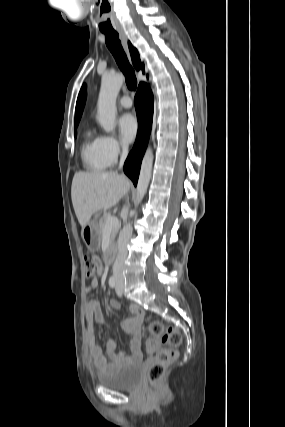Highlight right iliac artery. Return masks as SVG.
<instances>
[{"label":"right iliac artery","mask_w":285,"mask_h":427,"mask_svg":"<svg viewBox=\"0 0 285 427\" xmlns=\"http://www.w3.org/2000/svg\"><path fill=\"white\" fill-rule=\"evenodd\" d=\"M109 285L111 288H114L116 286V279L114 276H111L109 279Z\"/></svg>","instance_id":"obj_1"}]
</instances>
